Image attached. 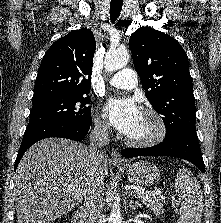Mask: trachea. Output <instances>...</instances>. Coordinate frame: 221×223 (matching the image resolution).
Returning <instances> with one entry per match:
<instances>
[{
	"instance_id": "trachea-1",
	"label": "trachea",
	"mask_w": 221,
	"mask_h": 223,
	"mask_svg": "<svg viewBox=\"0 0 221 223\" xmlns=\"http://www.w3.org/2000/svg\"><path fill=\"white\" fill-rule=\"evenodd\" d=\"M123 0H111L110 4V18L114 23L120 15L122 10Z\"/></svg>"
}]
</instances>
